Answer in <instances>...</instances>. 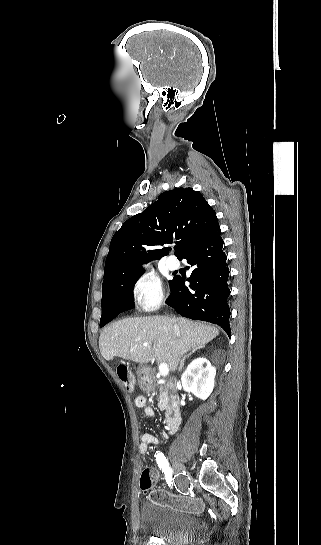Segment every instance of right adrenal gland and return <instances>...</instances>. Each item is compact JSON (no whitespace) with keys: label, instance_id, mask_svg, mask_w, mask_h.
Segmentation results:
<instances>
[{"label":"right adrenal gland","instance_id":"obj_1","mask_svg":"<svg viewBox=\"0 0 321 545\" xmlns=\"http://www.w3.org/2000/svg\"><path fill=\"white\" fill-rule=\"evenodd\" d=\"M205 345H202V347H197V349H192L191 353H189V355H185V357H183L181 363H180V367L178 369V371H181L184 363H185V359H188V357H190V355H193V353H196V351H198V349H204Z\"/></svg>","mask_w":321,"mask_h":545}]
</instances>
